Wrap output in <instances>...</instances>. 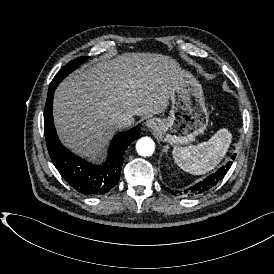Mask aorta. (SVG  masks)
<instances>
[{
  "label": "aorta",
  "instance_id": "762f6f07",
  "mask_svg": "<svg viewBox=\"0 0 274 274\" xmlns=\"http://www.w3.org/2000/svg\"><path fill=\"white\" fill-rule=\"evenodd\" d=\"M136 150L141 156H151L155 150L154 141L149 137H142L136 143Z\"/></svg>",
  "mask_w": 274,
  "mask_h": 274
}]
</instances>
